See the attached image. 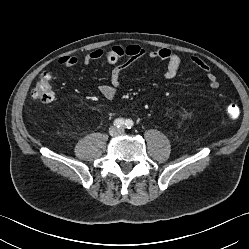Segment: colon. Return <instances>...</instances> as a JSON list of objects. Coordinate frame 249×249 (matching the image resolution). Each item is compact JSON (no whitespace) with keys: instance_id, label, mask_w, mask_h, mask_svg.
Segmentation results:
<instances>
[{"instance_id":"5ec220e1","label":"colon","mask_w":249,"mask_h":249,"mask_svg":"<svg viewBox=\"0 0 249 249\" xmlns=\"http://www.w3.org/2000/svg\"><path fill=\"white\" fill-rule=\"evenodd\" d=\"M34 99L42 102L49 103L54 98L53 90V76L49 72H44L40 75L32 90ZM239 114L238 108L235 105L229 107V115L233 118Z\"/></svg>"}]
</instances>
